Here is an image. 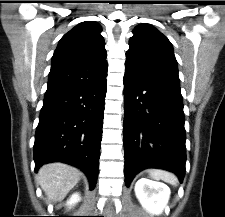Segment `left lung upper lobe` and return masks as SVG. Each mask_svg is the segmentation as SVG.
Returning <instances> with one entry per match:
<instances>
[{
    "label": "left lung upper lobe",
    "mask_w": 225,
    "mask_h": 217,
    "mask_svg": "<svg viewBox=\"0 0 225 217\" xmlns=\"http://www.w3.org/2000/svg\"><path fill=\"white\" fill-rule=\"evenodd\" d=\"M133 33L125 70L147 80L179 86L177 61L167 37L148 24L136 26Z\"/></svg>",
    "instance_id": "obj_1"
}]
</instances>
